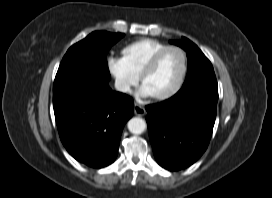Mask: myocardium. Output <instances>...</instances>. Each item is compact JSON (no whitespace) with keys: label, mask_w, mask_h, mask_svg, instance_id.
<instances>
[{"label":"myocardium","mask_w":272,"mask_h":198,"mask_svg":"<svg viewBox=\"0 0 272 198\" xmlns=\"http://www.w3.org/2000/svg\"><path fill=\"white\" fill-rule=\"evenodd\" d=\"M171 50H176L178 52H180L181 56H182V60H183V67H182V72L180 75V78L177 82V84L167 93L162 94V95H158V96H153L152 99L155 101H165L168 100L172 97H174L183 87L186 77H187V72H188V56L187 53L185 52L184 49H182L179 46H166L162 49H160L159 51H157L152 58L149 60V62L145 65V67L143 68V70L141 71L140 75H139V82L140 84L143 83V80L152 72L154 71V69L157 67V65L159 64L161 58L168 52Z\"/></svg>","instance_id":"myocardium-1"}]
</instances>
